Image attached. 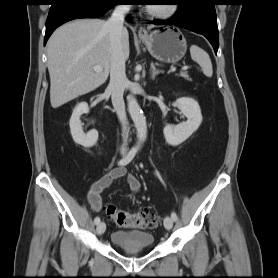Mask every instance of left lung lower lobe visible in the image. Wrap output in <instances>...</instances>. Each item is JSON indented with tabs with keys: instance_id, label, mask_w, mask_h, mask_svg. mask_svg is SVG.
<instances>
[{
	"instance_id": "1",
	"label": "left lung lower lobe",
	"mask_w": 278,
	"mask_h": 278,
	"mask_svg": "<svg viewBox=\"0 0 278 278\" xmlns=\"http://www.w3.org/2000/svg\"><path fill=\"white\" fill-rule=\"evenodd\" d=\"M214 0H187L168 20H154V24L182 27L205 36L217 54L218 28Z\"/></svg>"
}]
</instances>
